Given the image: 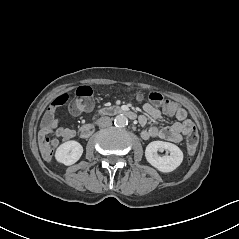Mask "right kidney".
Here are the masks:
<instances>
[{
    "label": "right kidney",
    "instance_id": "1",
    "mask_svg": "<svg viewBox=\"0 0 239 239\" xmlns=\"http://www.w3.org/2000/svg\"><path fill=\"white\" fill-rule=\"evenodd\" d=\"M83 153L82 145L77 141L64 142L55 151V158L63 165H70L77 162Z\"/></svg>",
    "mask_w": 239,
    "mask_h": 239
}]
</instances>
